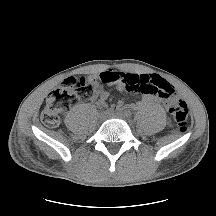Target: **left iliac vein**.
<instances>
[{
    "label": "left iliac vein",
    "instance_id": "obj_1",
    "mask_svg": "<svg viewBox=\"0 0 216 216\" xmlns=\"http://www.w3.org/2000/svg\"><path fill=\"white\" fill-rule=\"evenodd\" d=\"M110 117L124 119V120L126 119V116L123 113H115V114L110 115Z\"/></svg>",
    "mask_w": 216,
    "mask_h": 216
}]
</instances>
